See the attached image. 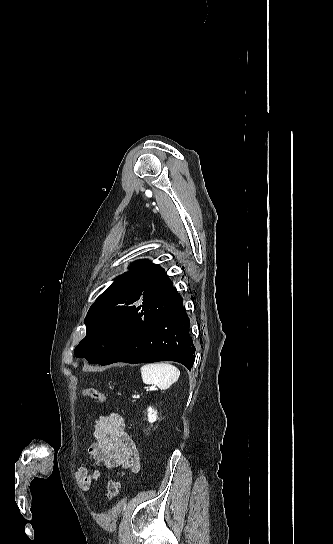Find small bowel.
<instances>
[{
    "mask_svg": "<svg viewBox=\"0 0 333 544\" xmlns=\"http://www.w3.org/2000/svg\"><path fill=\"white\" fill-rule=\"evenodd\" d=\"M93 438L88 447L92 466L83 465L75 472L76 481L83 490H89L95 484L103 469L139 470V452L119 414L112 412L97 417L93 423Z\"/></svg>",
    "mask_w": 333,
    "mask_h": 544,
    "instance_id": "1",
    "label": "small bowel"
}]
</instances>
